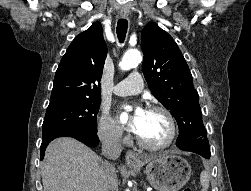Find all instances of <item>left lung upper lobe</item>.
<instances>
[{
  "label": "left lung upper lobe",
  "mask_w": 251,
  "mask_h": 191,
  "mask_svg": "<svg viewBox=\"0 0 251 191\" xmlns=\"http://www.w3.org/2000/svg\"><path fill=\"white\" fill-rule=\"evenodd\" d=\"M142 71L152 94L170 110L179 126L176 145L203 144L209 149L199 95L189 67L173 38L156 23L142 30Z\"/></svg>",
  "instance_id": "1"
}]
</instances>
